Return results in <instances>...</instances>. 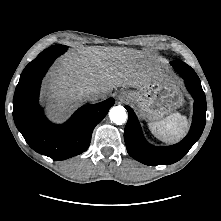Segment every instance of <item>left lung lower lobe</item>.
Instances as JSON below:
<instances>
[{
	"instance_id": "obj_1",
	"label": "left lung lower lobe",
	"mask_w": 221,
	"mask_h": 221,
	"mask_svg": "<svg viewBox=\"0 0 221 221\" xmlns=\"http://www.w3.org/2000/svg\"><path fill=\"white\" fill-rule=\"evenodd\" d=\"M170 64L182 76L195 100L193 121L188 135L179 143L168 147H153L145 141L135 113L126 106L129 115L124 130L127 151L135 160L146 165H168L179 161L199 139L206 123V98L199 77L182 61H172Z\"/></svg>"
}]
</instances>
